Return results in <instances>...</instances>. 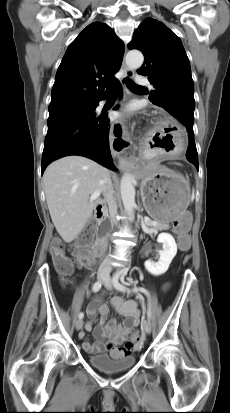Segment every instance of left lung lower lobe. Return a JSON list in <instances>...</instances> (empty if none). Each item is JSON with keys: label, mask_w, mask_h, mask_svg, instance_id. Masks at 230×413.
Masks as SVG:
<instances>
[{"label": "left lung lower lobe", "mask_w": 230, "mask_h": 413, "mask_svg": "<svg viewBox=\"0 0 230 413\" xmlns=\"http://www.w3.org/2000/svg\"><path fill=\"white\" fill-rule=\"evenodd\" d=\"M188 138H189V144L186 152V158L189 162L195 165V167L198 169V154H197V149L194 141V132L193 128H188Z\"/></svg>", "instance_id": "obj_1"}]
</instances>
